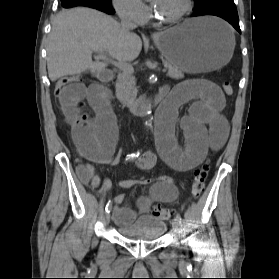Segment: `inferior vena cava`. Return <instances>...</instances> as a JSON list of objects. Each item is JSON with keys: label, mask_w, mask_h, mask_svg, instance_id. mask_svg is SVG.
Returning a JSON list of instances; mask_svg holds the SVG:
<instances>
[{"label": "inferior vena cava", "mask_w": 279, "mask_h": 279, "mask_svg": "<svg viewBox=\"0 0 279 279\" xmlns=\"http://www.w3.org/2000/svg\"><path fill=\"white\" fill-rule=\"evenodd\" d=\"M121 30L123 33L127 34L130 33L131 30L136 28V25L132 23L130 20L126 18L121 19V24H120Z\"/></svg>", "instance_id": "1"}]
</instances>
